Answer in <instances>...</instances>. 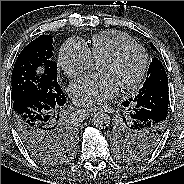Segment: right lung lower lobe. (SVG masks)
<instances>
[{
    "label": "right lung lower lobe",
    "instance_id": "98d812e1",
    "mask_svg": "<svg viewBox=\"0 0 184 184\" xmlns=\"http://www.w3.org/2000/svg\"><path fill=\"white\" fill-rule=\"evenodd\" d=\"M66 98L62 89L48 101L25 97L12 101L17 131L28 150L55 139L59 126L67 124L62 115Z\"/></svg>",
    "mask_w": 184,
    "mask_h": 184
}]
</instances>
